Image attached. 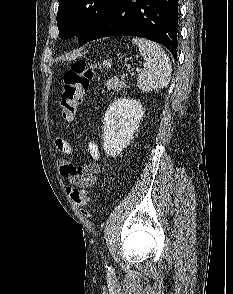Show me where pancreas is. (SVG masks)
<instances>
[{
    "label": "pancreas",
    "instance_id": "cf45deb5",
    "mask_svg": "<svg viewBox=\"0 0 233 294\" xmlns=\"http://www.w3.org/2000/svg\"><path fill=\"white\" fill-rule=\"evenodd\" d=\"M105 85L109 90H114L117 92L127 87L126 81L120 80L117 77L108 79Z\"/></svg>",
    "mask_w": 233,
    "mask_h": 294
}]
</instances>
